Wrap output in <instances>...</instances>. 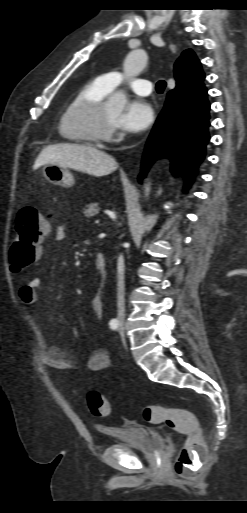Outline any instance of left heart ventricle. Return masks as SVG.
I'll use <instances>...</instances> for the list:
<instances>
[{
  "label": "left heart ventricle",
  "instance_id": "1",
  "mask_svg": "<svg viewBox=\"0 0 247 513\" xmlns=\"http://www.w3.org/2000/svg\"><path fill=\"white\" fill-rule=\"evenodd\" d=\"M118 115L119 110L115 108L111 103H107L105 108V119L107 120V122H109L110 124H114Z\"/></svg>",
  "mask_w": 247,
  "mask_h": 513
}]
</instances>
